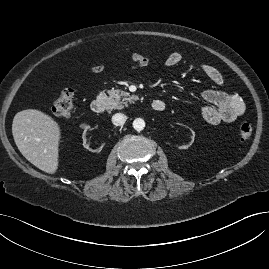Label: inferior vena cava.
Returning a JSON list of instances; mask_svg holds the SVG:
<instances>
[{"label":"inferior vena cava","instance_id":"inferior-vena-cava-1","mask_svg":"<svg viewBox=\"0 0 269 269\" xmlns=\"http://www.w3.org/2000/svg\"><path fill=\"white\" fill-rule=\"evenodd\" d=\"M127 120V116L122 113H117L112 116V123L115 126H122L124 125L125 121Z\"/></svg>","mask_w":269,"mask_h":269}]
</instances>
